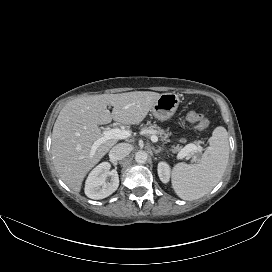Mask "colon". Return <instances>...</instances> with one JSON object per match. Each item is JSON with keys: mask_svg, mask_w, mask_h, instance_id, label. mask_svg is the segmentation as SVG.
<instances>
[{"mask_svg": "<svg viewBox=\"0 0 272 272\" xmlns=\"http://www.w3.org/2000/svg\"><path fill=\"white\" fill-rule=\"evenodd\" d=\"M187 120L190 123L194 124L196 128L200 131L207 129L209 126L208 120L206 119L204 114L200 112L190 111L187 114Z\"/></svg>", "mask_w": 272, "mask_h": 272, "instance_id": "1", "label": "colon"}]
</instances>
